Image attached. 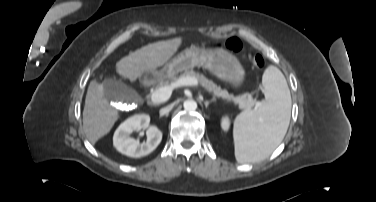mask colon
<instances>
[{
    "label": "colon",
    "mask_w": 376,
    "mask_h": 202,
    "mask_svg": "<svg viewBox=\"0 0 376 202\" xmlns=\"http://www.w3.org/2000/svg\"><path fill=\"white\" fill-rule=\"evenodd\" d=\"M225 47L236 55H242L244 56L251 65L258 69L262 70L265 67V60L261 55L255 54H249L244 50L242 42L238 38H231L225 42Z\"/></svg>",
    "instance_id": "1"
}]
</instances>
